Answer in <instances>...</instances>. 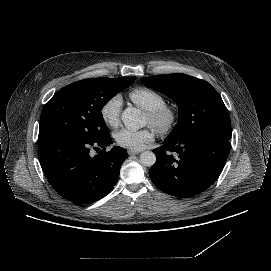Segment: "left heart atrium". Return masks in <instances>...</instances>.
I'll return each mask as SVG.
<instances>
[{"instance_id":"obj_1","label":"left heart atrium","mask_w":271,"mask_h":271,"mask_svg":"<svg viewBox=\"0 0 271 271\" xmlns=\"http://www.w3.org/2000/svg\"><path fill=\"white\" fill-rule=\"evenodd\" d=\"M154 140V133L150 128L138 130L121 129L115 134L116 143L126 149L141 150Z\"/></svg>"}]
</instances>
